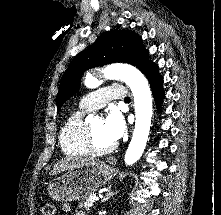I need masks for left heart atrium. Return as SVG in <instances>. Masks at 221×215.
Instances as JSON below:
<instances>
[{
  "instance_id": "1",
  "label": "left heart atrium",
  "mask_w": 221,
  "mask_h": 215,
  "mask_svg": "<svg viewBox=\"0 0 221 215\" xmlns=\"http://www.w3.org/2000/svg\"><path fill=\"white\" fill-rule=\"evenodd\" d=\"M125 131V124L121 115L111 112L103 122V132L112 143L119 140Z\"/></svg>"
}]
</instances>
